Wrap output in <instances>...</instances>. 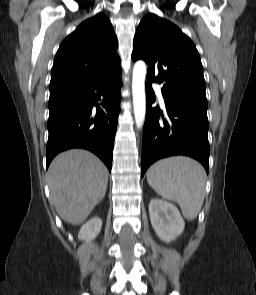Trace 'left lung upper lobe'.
<instances>
[{"instance_id":"left-lung-upper-lobe-1","label":"left lung upper lobe","mask_w":256,"mask_h":295,"mask_svg":"<svg viewBox=\"0 0 256 295\" xmlns=\"http://www.w3.org/2000/svg\"><path fill=\"white\" fill-rule=\"evenodd\" d=\"M132 59L148 64L147 78L162 83L164 95L207 106L199 53L173 23L146 15L134 37Z\"/></svg>"}]
</instances>
